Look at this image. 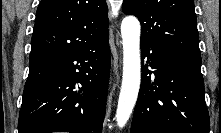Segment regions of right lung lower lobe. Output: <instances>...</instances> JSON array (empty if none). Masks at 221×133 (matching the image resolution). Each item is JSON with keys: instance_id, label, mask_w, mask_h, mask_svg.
Returning a JSON list of instances; mask_svg holds the SVG:
<instances>
[{"instance_id": "98d812e1", "label": "right lung lower lobe", "mask_w": 221, "mask_h": 133, "mask_svg": "<svg viewBox=\"0 0 221 133\" xmlns=\"http://www.w3.org/2000/svg\"><path fill=\"white\" fill-rule=\"evenodd\" d=\"M19 133H102L110 54L108 33L74 51L29 61Z\"/></svg>"}]
</instances>
